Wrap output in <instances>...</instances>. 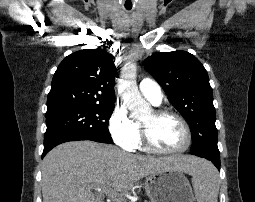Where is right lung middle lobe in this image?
I'll return each mask as SVG.
<instances>
[{
	"label": "right lung middle lobe",
	"mask_w": 255,
	"mask_h": 202,
	"mask_svg": "<svg viewBox=\"0 0 255 202\" xmlns=\"http://www.w3.org/2000/svg\"><path fill=\"white\" fill-rule=\"evenodd\" d=\"M114 104L82 105L46 114L44 139L57 135H76L88 140L111 143L108 121Z\"/></svg>",
	"instance_id": "1"
}]
</instances>
